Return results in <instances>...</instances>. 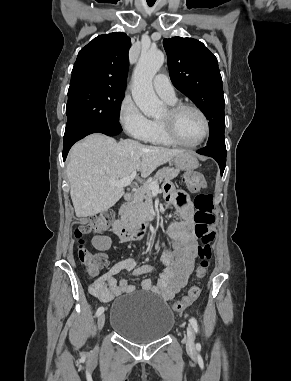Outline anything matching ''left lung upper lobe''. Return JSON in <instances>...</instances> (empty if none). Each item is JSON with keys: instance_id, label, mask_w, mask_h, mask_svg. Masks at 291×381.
<instances>
[{"instance_id": "left-lung-upper-lobe-1", "label": "left lung upper lobe", "mask_w": 291, "mask_h": 381, "mask_svg": "<svg viewBox=\"0 0 291 381\" xmlns=\"http://www.w3.org/2000/svg\"><path fill=\"white\" fill-rule=\"evenodd\" d=\"M173 85L189 97L209 120L208 146L225 145L222 78L217 58L192 38L164 39Z\"/></svg>"}]
</instances>
